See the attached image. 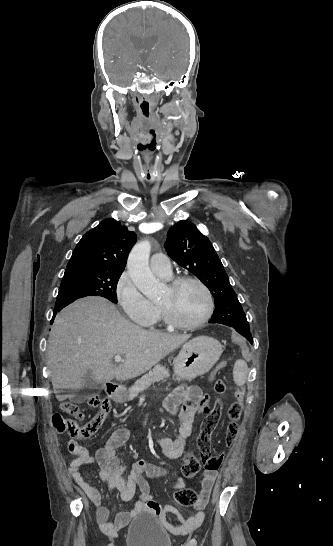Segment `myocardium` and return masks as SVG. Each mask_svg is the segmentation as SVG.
<instances>
[{
  "mask_svg": "<svg viewBox=\"0 0 333 546\" xmlns=\"http://www.w3.org/2000/svg\"><path fill=\"white\" fill-rule=\"evenodd\" d=\"M185 283L196 284L197 286H199L201 288V290L204 292L205 297H206V308L204 310L203 315L197 321H195L193 323H183V322L178 321L176 318H174L171 315V313L169 312V310L165 306H163L161 304H158V308H159V311H160V313L162 315V318H163L164 322L168 326H170V327H172L174 329H177V330L191 331V330H195V329L200 328L201 326H203L210 319V317L213 314L215 304H214V297H213V294H212L211 290L209 289V287L201 279H199L197 277H194V276H179V277L171 280L168 287L171 290H175L179 286H181V285H183Z\"/></svg>",
  "mask_w": 333,
  "mask_h": 546,
  "instance_id": "obj_1",
  "label": "myocardium"
}]
</instances>
